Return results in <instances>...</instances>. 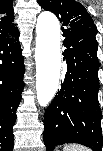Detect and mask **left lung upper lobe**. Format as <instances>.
Returning <instances> with one entry per match:
<instances>
[{
  "label": "left lung upper lobe",
  "instance_id": "1",
  "mask_svg": "<svg viewBox=\"0 0 103 151\" xmlns=\"http://www.w3.org/2000/svg\"><path fill=\"white\" fill-rule=\"evenodd\" d=\"M41 8L53 12L62 22V30L95 36L97 27L85 7L75 0H38Z\"/></svg>",
  "mask_w": 103,
  "mask_h": 151
}]
</instances>
